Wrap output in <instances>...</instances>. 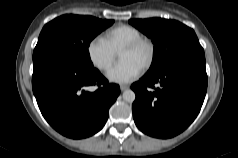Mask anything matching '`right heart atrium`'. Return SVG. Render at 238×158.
Returning a JSON list of instances; mask_svg holds the SVG:
<instances>
[{"label":"right heart atrium","mask_w":238,"mask_h":158,"mask_svg":"<svg viewBox=\"0 0 238 158\" xmlns=\"http://www.w3.org/2000/svg\"><path fill=\"white\" fill-rule=\"evenodd\" d=\"M87 53L91 63L101 71L109 69L117 56L107 41L100 36L94 37L88 43Z\"/></svg>","instance_id":"1"}]
</instances>
